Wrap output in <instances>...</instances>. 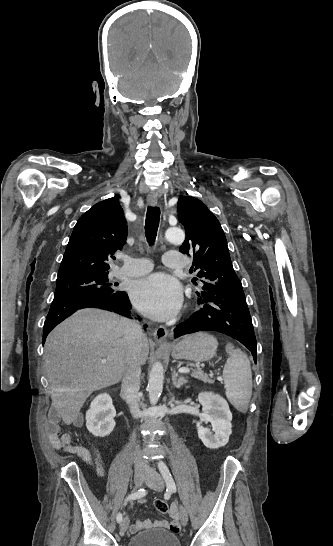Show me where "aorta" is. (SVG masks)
Instances as JSON below:
<instances>
[{
	"instance_id": "1",
	"label": "aorta",
	"mask_w": 333,
	"mask_h": 546,
	"mask_svg": "<svg viewBox=\"0 0 333 546\" xmlns=\"http://www.w3.org/2000/svg\"><path fill=\"white\" fill-rule=\"evenodd\" d=\"M184 238L185 234L179 228H171L166 230L165 232V239L173 244L183 243ZM163 380V366L160 362H156L152 366L147 386V390L149 392V400L152 405H155L158 402L160 395L162 394Z\"/></svg>"
}]
</instances>
